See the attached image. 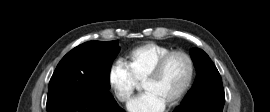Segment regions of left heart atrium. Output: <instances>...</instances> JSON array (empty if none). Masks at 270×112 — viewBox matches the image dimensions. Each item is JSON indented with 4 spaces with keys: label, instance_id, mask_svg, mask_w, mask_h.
<instances>
[{
    "label": "left heart atrium",
    "instance_id": "39dd6f15",
    "mask_svg": "<svg viewBox=\"0 0 270 112\" xmlns=\"http://www.w3.org/2000/svg\"><path fill=\"white\" fill-rule=\"evenodd\" d=\"M165 107L166 103L151 92L143 93L127 105L129 112H163Z\"/></svg>",
    "mask_w": 270,
    "mask_h": 112
}]
</instances>
